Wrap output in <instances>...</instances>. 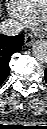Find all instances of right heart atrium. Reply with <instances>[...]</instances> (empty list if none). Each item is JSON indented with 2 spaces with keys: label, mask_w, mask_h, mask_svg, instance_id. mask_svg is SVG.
<instances>
[{
  "label": "right heart atrium",
  "mask_w": 47,
  "mask_h": 129,
  "mask_svg": "<svg viewBox=\"0 0 47 129\" xmlns=\"http://www.w3.org/2000/svg\"><path fill=\"white\" fill-rule=\"evenodd\" d=\"M7 12L19 28L25 27L31 23L33 17L20 5L17 0L8 1Z\"/></svg>",
  "instance_id": "d8ad5b80"
}]
</instances>
